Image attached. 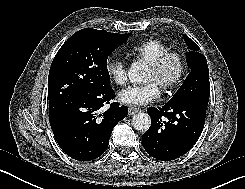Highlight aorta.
Instances as JSON below:
<instances>
[{
	"mask_svg": "<svg viewBox=\"0 0 245 189\" xmlns=\"http://www.w3.org/2000/svg\"><path fill=\"white\" fill-rule=\"evenodd\" d=\"M145 69L143 65L134 62L128 70V78L134 84H142L146 82ZM151 120L148 114L140 112L133 116L132 125L135 130L145 132L149 129Z\"/></svg>",
	"mask_w": 245,
	"mask_h": 189,
	"instance_id": "762f6f07",
	"label": "aorta"
}]
</instances>
